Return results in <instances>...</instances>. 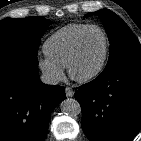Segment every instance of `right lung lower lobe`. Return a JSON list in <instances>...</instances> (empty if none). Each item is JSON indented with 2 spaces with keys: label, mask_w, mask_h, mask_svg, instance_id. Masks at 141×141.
Segmentation results:
<instances>
[{
  "label": "right lung lower lobe",
  "mask_w": 141,
  "mask_h": 141,
  "mask_svg": "<svg viewBox=\"0 0 141 141\" xmlns=\"http://www.w3.org/2000/svg\"><path fill=\"white\" fill-rule=\"evenodd\" d=\"M37 57L0 58V141H44L53 109L65 99L64 87L43 84Z\"/></svg>",
  "instance_id": "obj_1"
}]
</instances>
